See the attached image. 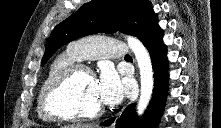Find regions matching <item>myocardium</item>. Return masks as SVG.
<instances>
[{
    "mask_svg": "<svg viewBox=\"0 0 221 128\" xmlns=\"http://www.w3.org/2000/svg\"><path fill=\"white\" fill-rule=\"evenodd\" d=\"M79 73H86L90 77H93L92 70L89 67L76 63L67 67L46 85L42 91L40 100L41 112L43 115L50 119H58L62 121L92 120L100 117L104 110L103 106H100L93 111L75 113L66 112L58 108L54 103L56 94L64 90Z\"/></svg>",
    "mask_w": 221,
    "mask_h": 128,
    "instance_id": "1",
    "label": "myocardium"
}]
</instances>
